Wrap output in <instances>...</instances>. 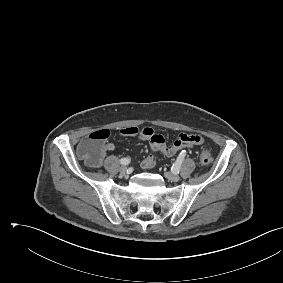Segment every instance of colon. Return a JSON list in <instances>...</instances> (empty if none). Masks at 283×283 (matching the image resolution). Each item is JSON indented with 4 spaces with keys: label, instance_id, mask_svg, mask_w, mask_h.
<instances>
[{
    "label": "colon",
    "instance_id": "5ec220e1",
    "mask_svg": "<svg viewBox=\"0 0 283 283\" xmlns=\"http://www.w3.org/2000/svg\"><path fill=\"white\" fill-rule=\"evenodd\" d=\"M108 136L109 132L103 129L95 131L85 137L78 145L79 156L90 166H98L103 158V146ZM199 159L204 166L212 162V154L208 147L203 146L200 149Z\"/></svg>",
    "mask_w": 283,
    "mask_h": 283
}]
</instances>
